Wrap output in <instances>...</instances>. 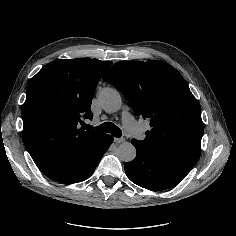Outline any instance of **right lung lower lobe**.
<instances>
[{
  "mask_svg": "<svg viewBox=\"0 0 236 236\" xmlns=\"http://www.w3.org/2000/svg\"><path fill=\"white\" fill-rule=\"evenodd\" d=\"M113 142V137L107 134L93 143L81 147L74 152L68 162L50 179L71 184L86 180L94 172L100 159Z\"/></svg>",
  "mask_w": 236,
  "mask_h": 236,
  "instance_id": "obj_1",
  "label": "right lung lower lobe"
}]
</instances>
